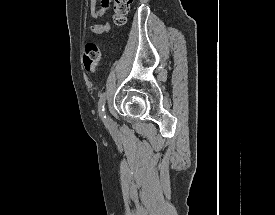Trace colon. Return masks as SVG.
I'll return each mask as SVG.
<instances>
[{"label":"colon","instance_id":"colon-1","mask_svg":"<svg viewBox=\"0 0 275 215\" xmlns=\"http://www.w3.org/2000/svg\"><path fill=\"white\" fill-rule=\"evenodd\" d=\"M132 0H114L113 20L116 25H123L131 8ZM102 54L99 45L94 41L85 43L82 51V62L88 73H96L101 65Z\"/></svg>","mask_w":275,"mask_h":215}]
</instances>
